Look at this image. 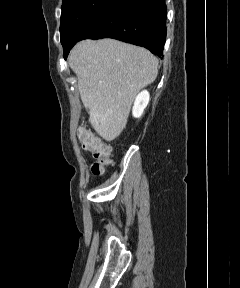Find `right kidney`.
<instances>
[{
    "label": "right kidney",
    "mask_w": 240,
    "mask_h": 288,
    "mask_svg": "<svg viewBox=\"0 0 240 288\" xmlns=\"http://www.w3.org/2000/svg\"><path fill=\"white\" fill-rule=\"evenodd\" d=\"M150 100L149 92L144 90L139 93L135 99L132 114L135 118H140L144 112V109L148 105Z\"/></svg>",
    "instance_id": "ca27d5eb"
}]
</instances>
